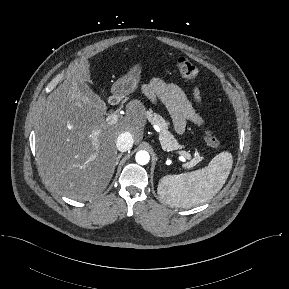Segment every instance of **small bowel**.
I'll return each instance as SVG.
<instances>
[{"label":"small bowel","instance_id":"1","mask_svg":"<svg viewBox=\"0 0 289 289\" xmlns=\"http://www.w3.org/2000/svg\"><path fill=\"white\" fill-rule=\"evenodd\" d=\"M143 91L152 101H160L165 105L178 133L185 131L188 122L197 126L204 124L203 117L194 109L178 85L160 78H153L144 86ZM192 96L197 105L202 104L201 91L198 87L194 88Z\"/></svg>","mask_w":289,"mask_h":289}]
</instances>
